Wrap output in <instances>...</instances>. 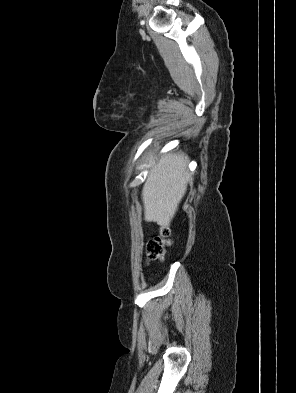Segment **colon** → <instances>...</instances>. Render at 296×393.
<instances>
[{"mask_svg":"<svg viewBox=\"0 0 296 393\" xmlns=\"http://www.w3.org/2000/svg\"><path fill=\"white\" fill-rule=\"evenodd\" d=\"M169 235L168 229H162L160 234L151 240L147 246V254L151 260H161L163 259L166 247L169 245Z\"/></svg>","mask_w":296,"mask_h":393,"instance_id":"obj_1","label":"colon"}]
</instances>
